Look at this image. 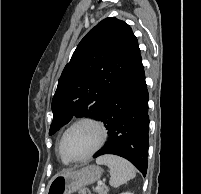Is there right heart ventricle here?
I'll return each mask as SVG.
<instances>
[{"instance_id": "1", "label": "right heart ventricle", "mask_w": 201, "mask_h": 194, "mask_svg": "<svg viewBox=\"0 0 201 194\" xmlns=\"http://www.w3.org/2000/svg\"><path fill=\"white\" fill-rule=\"evenodd\" d=\"M61 159H62V158H61ZM62 161H63L64 163H68V162L64 161L63 159H62Z\"/></svg>"}]
</instances>
